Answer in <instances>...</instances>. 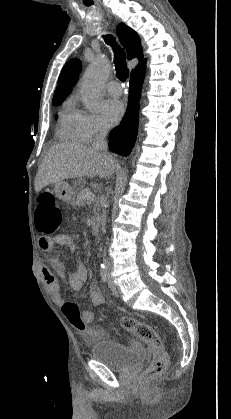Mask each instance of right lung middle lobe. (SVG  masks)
Returning a JSON list of instances; mask_svg holds the SVG:
<instances>
[{
    "mask_svg": "<svg viewBox=\"0 0 231 419\" xmlns=\"http://www.w3.org/2000/svg\"><path fill=\"white\" fill-rule=\"evenodd\" d=\"M63 100L64 99H56V100H53L52 101V104L55 105V106H58V105H60L62 103Z\"/></svg>",
    "mask_w": 231,
    "mask_h": 419,
    "instance_id": "right-lung-middle-lobe-1",
    "label": "right lung middle lobe"
}]
</instances>
